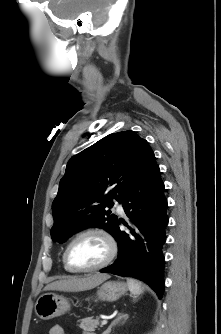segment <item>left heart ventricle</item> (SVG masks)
I'll list each match as a JSON object with an SVG mask.
<instances>
[{"label": "left heart ventricle", "mask_w": 221, "mask_h": 334, "mask_svg": "<svg viewBox=\"0 0 221 334\" xmlns=\"http://www.w3.org/2000/svg\"><path fill=\"white\" fill-rule=\"evenodd\" d=\"M107 254L106 241L99 235L89 234L79 238L72 245L69 259L75 267L86 268L99 264Z\"/></svg>", "instance_id": "obj_1"}]
</instances>
